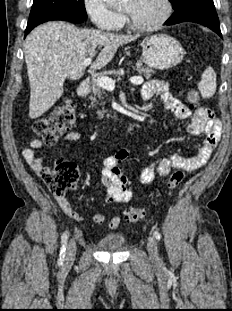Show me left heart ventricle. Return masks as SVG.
<instances>
[{"label": "left heart ventricle", "mask_w": 232, "mask_h": 311, "mask_svg": "<svg viewBox=\"0 0 232 311\" xmlns=\"http://www.w3.org/2000/svg\"><path fill=\"white\" fill-rule=\"evenodd\" d=\"M122 8L138 25L155 22L163 10L161 0H125Z\"/></svg>", "instance_id": "obj_1"}]
</instances>
